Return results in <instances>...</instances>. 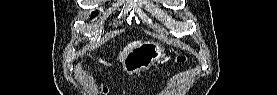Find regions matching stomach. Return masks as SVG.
Instances as JSON below:
<instances>
[{
	"label": "stomach",
	"mask_w": 277,
	"mask_h": 95,
	"mask_svg": "<svg viewBox=\"0 0 277 95\" xmlns=\"http://www.w3.org/2000/svg\"><path fill=\"white\" fill-rule=\"evenodd\" d=\"M165 56V47L153 41L138 44L122 61L123 70L128 74L147 71Z\"/></svg>",
	"instance_id": "stomach-1"
}]
</instances>
